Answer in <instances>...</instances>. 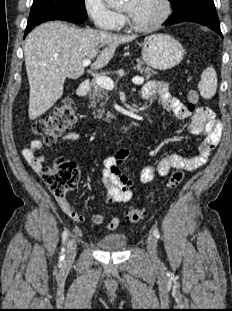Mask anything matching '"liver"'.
<instances>
[{
    "label": "liver",
    "instance_id": "1",
    "mask_svg": "<svg viewBox=\"0 0 232 311\" xmlns=\"http://www.w3.org/2000/svg\"><path fill=\"white\" fill-rule=\"evenodd\" d=\"M93 29H78L63 22H47L26 38L24 58L30 86L28 116L40 117L62 96L66 77L77 79L84 73L85 59L101 69L113 58L116 48L136 39ZM105 48L100 52V47Z\"/></svg>",
    "mask_w": 232,
    "mask_h": 311
}]
</instances>
